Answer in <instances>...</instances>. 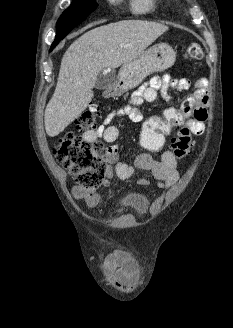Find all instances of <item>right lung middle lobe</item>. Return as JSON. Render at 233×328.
<instances>
[{
  "label": "right lung middle lobe",
  "instance_id": "obj_1",
  "mask_svg": "<svg viewBox=\"0 0 233 328\" xmlns=\"http://www.w3.org/2000/svg\"><path fill=\"white\" fill-rule=\"evenodd\" d=\"M96 7V0H73L72 5L61 15L57 23L82 22Z\"/></svg>",
  "mask_w": 233,
  "mask_h": 328
}]
</instances>
